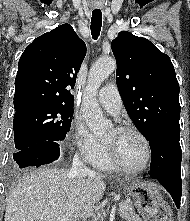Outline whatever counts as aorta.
<instances>
[{"instance_id":"1","label":"aorta","mask_w":190,"mask_h":221,"mask_svg":"<svg viewBox=\"0 0 190 221\" xmlns=\"http://www.w3.org/2000/svg\"><path fill=\"white\" fill-rule=\"evenodd\" d=\"M116 69L113 58L100 59L90 68L85 98L82 105V114L86 124L95 135L105 134L111 123L105 119L96 100L97 90L101 83Z\"/></svg>"}]
</instances>
